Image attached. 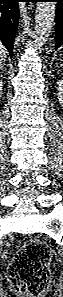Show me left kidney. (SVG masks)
I'll return each instance as SVG.
<instances>
[{"label":"left kidney","mask_w":63,"mask_h":297,"mask_svg":"<svg viewBox=\"0 0 63 297\" xmlns=\"http://www.w3.org/2000/svg\"><path fill=\"white\" fill-rule=\"evenodd\" d=\"M58 99L59 102L63 103V80L58 81Z\"/></svg>","instance_id":"left-kidney-1"}]
</instances>
